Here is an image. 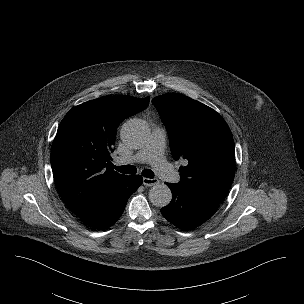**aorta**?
Segmentation results:
<instances>
[{
	"instance_id": "1",
	"label": "aorta",
	"mask_w": 304,
	"mask_h": 304,
	"mask_svg": "<svg viewBox=\"0 0 304 304\" xmlns=\"http://www.w3.org/2000/svg\"><path fill=\"white\" fill-rule=\"evenodd\" d=\"M148 127L145 122L132 119L121 129V138L125 145L131 148L141 147L147 140ZM149 200L157 207H165L172 200V192L165 184H156L149 190Z\"/></svg>"
}]
</instances>
